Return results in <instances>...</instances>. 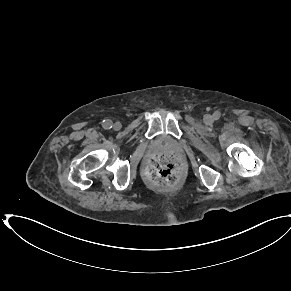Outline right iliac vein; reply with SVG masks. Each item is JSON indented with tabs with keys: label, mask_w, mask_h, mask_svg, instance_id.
Wrapping results in <instances>:
<instances>
[{
	"label": "right iliac vein",
	"mask_w": 291,
	"mask_h": 291,
	"mask_svg": "<svg viewBox=\"0 0 291 291\" xmlns=\"http://www.w3.org/2000/svg\"><path fill=\"white\" fill-rule=\"evenodd\" d=\"M113 129L118 131L121 129V123L120 122H116L114 125H113Z\"/></svg>",
	"instance_id": "obj_1"
}]
</instances>
